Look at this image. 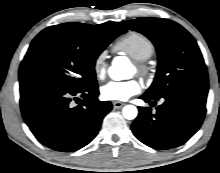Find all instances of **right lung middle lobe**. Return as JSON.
I'll return each mask as SVG.
<instances>
[{"mask_svg":"<svg viewBox=\"0 0 220 173\" xmlns=\"http://www.w3.org/2000/svg\"><path fill=\"white\" fill-rule=\"evenodd\" d=\"M116 37H99L81 24L48 27L32 41L19 80L49 82L71 90L95 86V61Z\"/></svg>","mask_w":220,"mask_h":173,"instance_id":"right-lung-middle-lobe-1","label":"right lung middle lobe"}]
</instances>
